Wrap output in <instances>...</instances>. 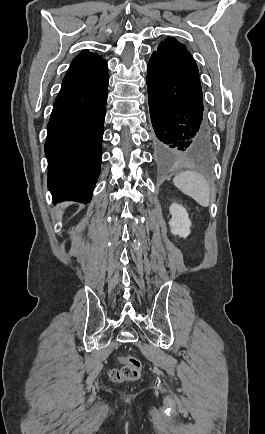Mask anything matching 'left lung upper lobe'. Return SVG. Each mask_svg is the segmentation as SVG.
I'll use <instances>...</instances> for the list:
<instances>
[{"label": "left lung upper lobe", "instance_id": "left-lung-upper-lobe-1", "mask_svg": "<svg viewBox=\"0 0 265 434\" xmlns=\"http://www.w3.org/2000/svg\"><path fill=\"white\" fill-rule=\"evenodd\" d=\"M153 54L161 56L171 64L189 84L202 94L198 67L185 45L174 38H167L159 44L157 51H154Z\"/></svg>", "mask_w": 265, "mask_h": 434}]
</instances>
